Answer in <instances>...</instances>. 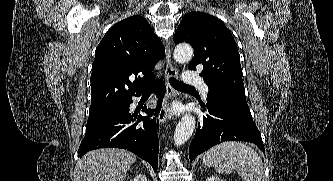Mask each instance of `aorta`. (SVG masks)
<instances>
[{"label": "aorta", "mask_w": 333, "mask_h": 181, "mask_svg": "<svg viewBox=\"0 0 333 181\" xmlns=\"http://www.w3.org/2000/svg\"><path fill=\"white\" fill-rule=\"evenodd\" d=\"M193 57V49L188 44H179L174 50V59L183 64L190 61ZM196 120L191 114H185L176 126L174 133L175 145H183L192 135L195 129Z\"/></svg>", "instance_id": "aorta-1"}]
</instances>
